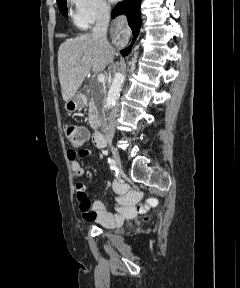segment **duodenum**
Listing matches in <instances>:
<instances>
[{
  "label": "duodenum",
  "instance_id": "410a0bca",
  "mask_svg": "<svg viewBox=\"0 0 240 288\" xmlns=\"http://www.w3.org/2000/svg\"><path fill=\"white\" fill-rule=\"evenodd\" d=\"M92 123L95 127H98L101 123V118L98 115H95L92 119ZM94 142L95 144L100 147L103 148L106 146V140L104 135L100 132V131H96L94 134Z\"/></svg>",
  "mask_w": 240,
  "mask_h": 288
}]
</instances>
